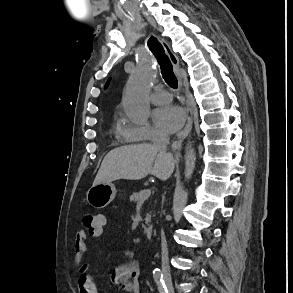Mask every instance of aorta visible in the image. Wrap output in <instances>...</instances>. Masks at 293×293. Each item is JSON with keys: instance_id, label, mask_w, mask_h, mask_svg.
Segmentation results:
<instances>
[{"instance_id": "aorta-1", "label": "aorta", "mask_w": 293, "mask_h": 293, "mask_svg": "<svg viewBox=\"0 0 293 293\" xmlns=\"http://www.w3.org/2000/svg\"><path fill=\"white\" fill-rule=\"evenodd\" d=\"M156 76V70L150 59L139 61L135 71L130 75L126 85L123 106L129 117L143 123L150 116V108L147 96L152 82ZM195 168V152L190 146L185 154V179L189 180Z\"/></svg>"}]
</instances>
